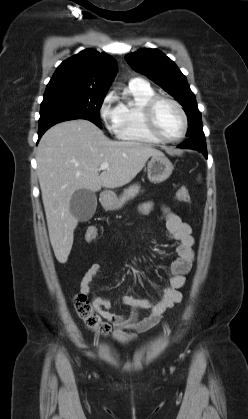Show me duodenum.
Instances as JSON below:
<instances>
[{
  "label": "duodenum",
  "instance_id": "410a0bca",
  "mask_svg": "<svg viewBox=\"0 0 248 419\" xmlns=\"http://www.w3.org/2000/svg\"><path fill=\"white\" fill-rule=\"evenodd\" d=\"M103 199L104 200H107V199H109V197H110V194L109 193H103Z\"/></svg>",
  "mask_w": 248,
  "mask_h": 419
}]
</instances>
